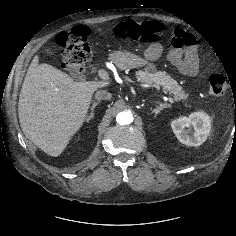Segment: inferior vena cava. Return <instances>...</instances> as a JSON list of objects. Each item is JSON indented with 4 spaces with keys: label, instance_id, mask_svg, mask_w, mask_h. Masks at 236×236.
<instances>
[{
    "label": "inferior vena cava",
    "instance_id": "obj_1",
    "mask_svg": "<svg viewBox=\"0 0 236 236\" xmlns=\"http://www.w3.org/2000/svg\"><path fill=\"white\" fill-rule=\"evenodd\" d=\"M97 100H111L112 94L106 90H98L95 94Z\"/></svg>",
    "mask_w": 236,
    "mask_h": 236
}]
</instances>
